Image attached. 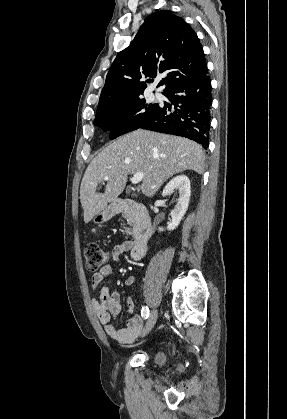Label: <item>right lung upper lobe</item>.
I'll return each mask as SVG.
<instances>
[{"instance_id": "right-lung-upper-lobe-1", "label": "right lung upper lobe", "mask_w": 287, "mask_h": 419, "mask_svg": "<svg viewBox=\"0 0 287 419\" xmlns=\"http://www.w3.org/2000/svg\"><path fill=\"white\" fill-rule=\"evenodd\" d=\"M196 33L169 10L148 16L129 47L115 58L100 95L98 109L141 97L148 79L164 76L165 91L207 72Z\"/></svg>"}]
</instances>
